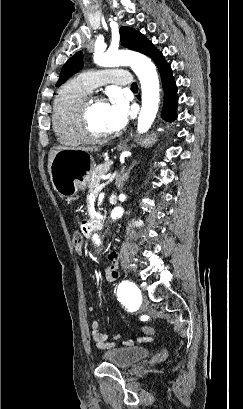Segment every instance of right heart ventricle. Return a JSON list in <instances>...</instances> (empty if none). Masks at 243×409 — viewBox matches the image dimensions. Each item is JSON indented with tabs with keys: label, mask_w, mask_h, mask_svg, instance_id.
Instances as JSON below:
<instances>
[{
	"label": "right heart ventricle",
	"mask_w": 243,
	"mask_h": 409,
	"mask_svg": "<svg viewBox=\"0 0 243 409\" xmlns=\"http://www.w3.org/2000/svg\"><path fill=\"white\" fill-rule=\"evenodd\" d=\"M91 90L80 77L65 82L53 101L52 125L60 143L76 146L85 140L77 123V106Z\"/></svg>",
	"instance_id": "obj_1"
}]
</instances>
